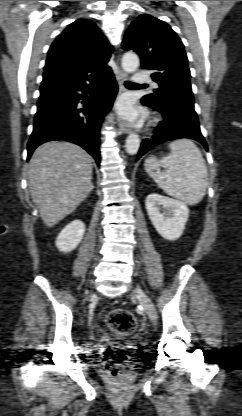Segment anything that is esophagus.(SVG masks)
<instances>
[{
    "label": "esophagus",
    "instance_id": "obj_1",
    "mask_svg": "<svg viewBox=\"0 0 242 416\" xmlns=\"http://www.w3.org/2000/svg\"><path fill=\"white\" fill-rule=\"evenodd\" d=\"M127 78H128V75L124 71H119V74L117 76V81H118V84H119V91L120 92H122L124 90L123 83ZM118 126H119L120 130L125 134H128L131 131L130 126L127 123H125L123 120L118 121Z\"/></svg>",
    "mask_w": 242,
    "mask_h": 416
}]
</instances>
